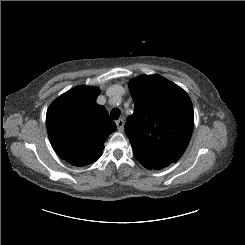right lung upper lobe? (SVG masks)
I'll return each mask as SVG.
<instances>
[{"mask_svg":"<svg viewBox=\"0 0 245 245\" xmlns=\"http://www.w3.org/2000/svg\"><path fill=\"white\" fill-rule=\"evenodd\" d=\"M100 90L77 86L59 96L48 108L50 142L66 162L85 166L96 161L108 136L116 130L106 109L96 103Z\"/></svg>","mask_w":245,"mask_h":245,"instance_id":"obj_1","label":"right lung upper lobe"}]
</instances>
